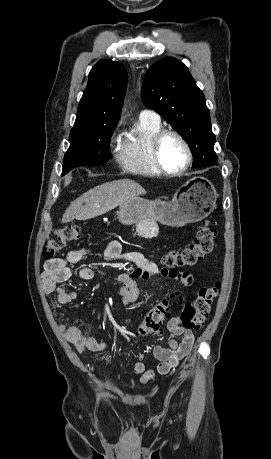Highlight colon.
<instances>
[{
  "instance_id": "colon-1",
  "label": "colon",
  "mask_w": 271,
  "mask_h": 459,
  "mask_svg": "<svg viewBox=\"0 0 271 459\" xmlns=\"http://www.w3.org/2000/svg\"><path fill=\"white\" fill-rule=\"evenodd\" d=\"M81 235L80 228L74 225H67L51 231L43 248V257L52 259L68 244L79 240ZM215 238V228L209 221H203L199 225L196 237L190 245L179 250L168 251L163 255L161 261L166 268L175 270L193 266L213 250ZM219 289L220 283L216 282L208 287L201 288L193 302H185L180 316L185 328L198 330L204 324L210 313L211 304L219 293ZM177 301H183V297L177 293L171 294L146 310L138 327L137 335L147 337L158 333L169 315L171 306L175 305Z\"/></svg>"
}]
</instances>
